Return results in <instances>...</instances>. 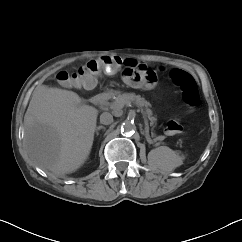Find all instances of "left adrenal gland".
<instances>
[{
    "label": "left adrenal gland",
    "instance_id": "obj_1",
    "mask_svg": "<svg viewBox=\"0 0 242 242\" xmlns=\"http://www.w3.org/2000/svg\"><path fill=\"white\" fill-rule=\"evenodd\" d=\"M147 133H148V127H146V135H147Z\"/></svg>",
    "mask_w": 242,
    "mask_h": 242
}]
</instances>
